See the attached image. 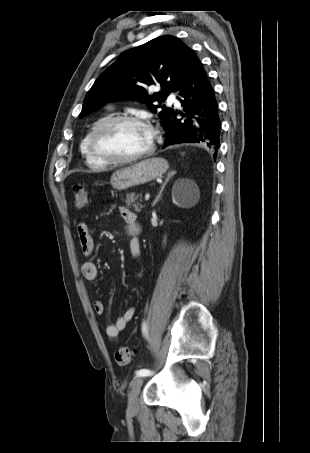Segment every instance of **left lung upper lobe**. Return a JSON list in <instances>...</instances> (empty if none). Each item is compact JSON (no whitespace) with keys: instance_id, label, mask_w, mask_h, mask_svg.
Instances as JSON below:
<instances>
[{"instance_id":"1","label":"left lung upper lobe","mask_w":310,"mask_h":453,"mask_svg":"<svg viewBox=\"0 0 310 453\" xmlns=\"http://www.w3.org/2000/svg\"><path fill=\"white\" fill-rule=\"evenodd\" d=\"M192 50L180 39L165 35L144 45L123 52L96 80L88 91L80 117L103 103L120 99H139L146 103L163 102L168 94L177 91L190 62ZM160 84L161 92L149 96L146 88ZM161 105H151V110ZM159 116L165 124L173 109L162 106Z\"/></svg>"}]
</instances>
